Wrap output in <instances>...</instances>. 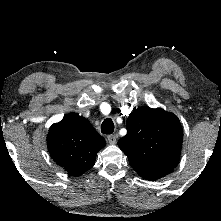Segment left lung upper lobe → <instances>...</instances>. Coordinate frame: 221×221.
Here are the masks:
<instances>
[{
    "label": "left lung upper lobe",
    "mask_w": 221,
    "mask_h": 221,
    "mask_svg": "<svg viewBox=\"0 0 221 221\" xmlns=\"http://www.w3.org/2000/svg\"><path fill=\"white\" fill-rule=\"evenodd\" d=\"M126 128L127 134L118 146L142 178L157 180L178 164L183 133L173 113L161 108H138L130 113Z\"/></svg>",
    "instance_id": "5c2ea615"
}]
</instances>
